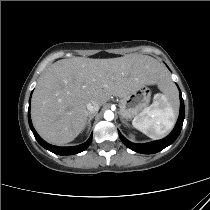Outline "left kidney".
<instances>
[{"instance_id": "1", "label": "left kidney", "mask_w": 210, "mask_h": 210, "mask_svg": "<svg viewBox=\"0 0 210 210\" xmlns=\"http://www.w3.org/2000/svg\"><path fill=\"white\" fill-rule=\"evenodd\" d=\"M130 137H131V138H134L132 134H130Z\"/></svg>"}]
</instances>
